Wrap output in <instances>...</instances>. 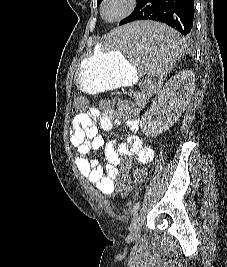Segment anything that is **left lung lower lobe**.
<instances>
[{"mask_svg":"<svg viewBox=\"0 0 227 267\" xmlns=\"http://www.w3.org/2000/svg\"><path fill=\"white\" fill-rule=\"evenodd\" d=\"M137 20H153L165 23L184 36L194 34V0H137L134 11L119 25ZM150 45L170 46V42L150 38Z\"/></svg>","mask_w":227,"mask_h":267,"instance_id":"0a47b994","label":"left lung lower lobe"}]
</instances>
